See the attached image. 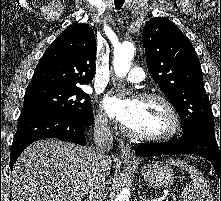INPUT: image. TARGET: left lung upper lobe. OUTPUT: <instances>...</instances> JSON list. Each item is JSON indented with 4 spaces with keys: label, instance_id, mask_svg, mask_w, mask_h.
I'll use <instances>...</instances> for the list:
<instances>
[{
    "label": "left lung upper lobe",
    "instance_id": "5c2ea615",
    "mask_svg": "<svg viewBox=\"0 0 221 201\" xmlns=\"http://www.w3.org/2000/svg\"><path fill=\"white\" fill-rule=\"evenodd\" d=\"M143 44L148 71L175 107L183 132L201 128L214 133L201 66L189 39L173 22L157 17L145 24Z\"/></svg>",
    "mask_w": 221,
    "mask_h": 201
}]
</instances>
